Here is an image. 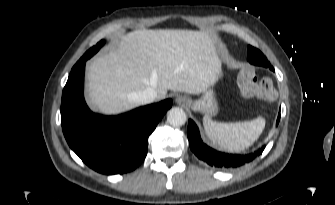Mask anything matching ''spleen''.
Masks as SVG:
<instances>
[{"label":"spleen","instance_id":"spleen-1","mask_svg":"<svg viewBox=\"0 0 335 205\" xmlns=\"http://www.w3.org/2000/svg\"><path fill=\"white\" fill-rule=\"evenodd\" d=\"M207 137L220 148L230 152H241L259 138L265 127V119L257 117L252 121L222 123L206 115L203 118Z\"/></svg>","mask_w":335,"mask_h":205}]
</instances>
